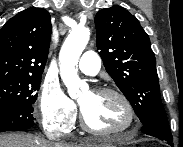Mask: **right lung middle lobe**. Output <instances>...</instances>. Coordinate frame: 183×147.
<instances>
[{"instance_id": "dd1d6c3e", "label": "right lung middle lobe", "mask_w": 183, "mask_h": 147, "mask_svg": "<svg viewBox=\"0 0 183 147\" xmlns=\"http://www.w3.org/2000/svg\"><path fill=\"white\" fill-rule=\"evenodd\" d=\"M41 78L38 75L0 80V106L34 104Z\"/></svg>"}]
</instances>
